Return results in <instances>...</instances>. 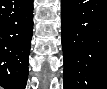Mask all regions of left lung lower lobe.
<instances>
[{
	"label": "left lung lower lobe",
	"mask_w": 107,
	"mask_h": 89,
	"mask_svg": "<svg viewBox=\"0 0 107 89\" xmlns=\"http://www.w3.org/2000/svg\"><path fill=\"white\" fill-rule=\"evenodd\" d=\"M64 89H107V0H61Z\"/></svg>",
	"instance_id": "1"
}]
</instances>
